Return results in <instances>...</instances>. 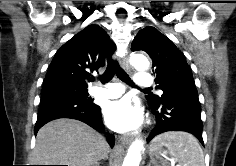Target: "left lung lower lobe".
<instances>
[{"mask_svg":"<svg viewBox=\"0 0 236 166\" xmlns=\"http://www.w3.org/2000/svg\"><path fill=\"white\" fill-rule=\"evenodd\" d=\"M150 107L156 116V127L148 142L163 132L185 131L193 134L204 145L197 90H176L161 105Z\"/></svg>","mask_w":236,"mask_h":166,"instance_id":"0a47b994","label":"left lung lower lobe"}]
</instances>
